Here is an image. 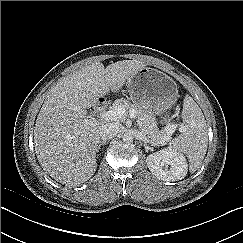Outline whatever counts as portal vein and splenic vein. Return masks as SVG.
<instances>
[{
	"instance_id": "1",
	"label": "portal vein and splenic vein",
	"mask_w": 243,
	"mask_h": 243,
	"mask_svg": "<svg viewBox=\"0 0 243 243\" xmlns=\"http://www.w3.org/2000/svg\"><path fill=\"white\" fill-rule=\"evenodd\" d=\"M127 113L131 119H134L137 117V112L134 108H132L128 112H126L124 106H122V105L115 106L108 111H104V112L100 113V117L102 119H105L106 121H116V120L123 119ZM138 122L140 125V121H138ZM169 139H170V137L166 136L164 140L167 141Z\"/></svg>"
}]
</instances>
